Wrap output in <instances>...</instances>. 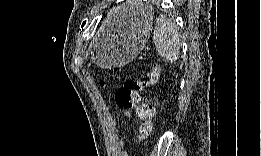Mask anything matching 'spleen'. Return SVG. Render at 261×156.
Listing matches in <instances>:
<instances>
[{"instance_id":"3e777b00","label":"spleen","mask_w":261,"mask_h":156,"mask_svg":"<svg viewBox=\"0 0 261 156\" xmlns=\"http://www.w3.org/2000/svg\"><path fill=\"white\" fill-rule=\"evenodd\" d=\"M156 49L166 62L174 63L179 55V35L175 24L161 15L153 32Z\"/></svg>"}]
</instances>
